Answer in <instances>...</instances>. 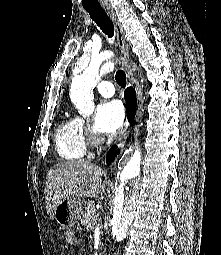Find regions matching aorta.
<instances>
[{
    "mask_svg": "<svg viewBox=\"0 0 221 255\" xmlns=\"http://www.w3.org/2000/svg\"><path fill=\"white\" fill-rule=\"evenodd\" d=\"M112 53L92 57L82 73L72 79L70 99L79 113L89 116L94 110L93 89L100 79L103 62L110 60ZM141 153L135 151L132 157L122 165L116 178L115 207L112 218L113 236L117 241L126 238L131 226L139 194L141 175Z\"/></svg>",
    "mask_w": 221,
    "mask_h": 255,
    "instance_id": "obj_1",
    "label": "aorta"
}]
</instances>
